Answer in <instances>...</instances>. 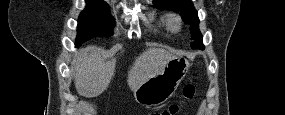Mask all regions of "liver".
Wrapping results in <instances>:
<instances>
[{
    "label": "liver",
    "instance_id": "6515ba94",
    "mask_svg": "<svg viewBox=\"0 0 285 115\" xmlns=\"http://www.w3.org/2000/svg\"><path fill=\"white\" fill-rule=\"evenodd\" d=\"M176 56L161 48H150L135 59L128 71L127 83L132 91L149 78L162 72L168 61ZM116 67V60L105 62L97 47L80 49L71 71L75 76V88L80 95L97 96L109 86Z\"/></svg>",
    "mask_w": 285,
    "mask_h": 115
}]
</instances>
